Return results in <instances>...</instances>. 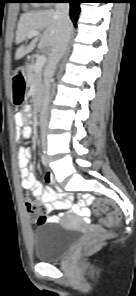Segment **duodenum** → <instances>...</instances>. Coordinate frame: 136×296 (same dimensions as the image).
<instances>
[{"mask_svg": "<svg viewBox=\"0 0 136 296\" xmlns=\"http://www.w3.org/2000/svg\"><path fill=\"white\" fill-rule=\"evenodd\" d=\"M27 65H29V62H27ZM15 76L18 79V81H22L23 80V70H22V68H18L15 71Z\"/></svg>", "mask_w": 136, "mask_h": 296, "instance_id": "1", "label": "duodenum"}]
</instances>
